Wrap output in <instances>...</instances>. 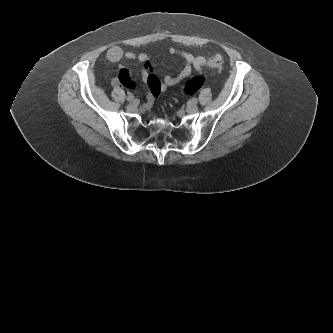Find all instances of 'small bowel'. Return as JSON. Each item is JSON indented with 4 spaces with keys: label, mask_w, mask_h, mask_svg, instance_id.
Instances as JSON below:
<instances>
[{
    "label": "small bowel",
    "mask_w": 333,
    "mask_h": 333,
    "mask_svg": "<svg viewBox=\"0 0 333 333\" xmlns=\"http://www.w3.org/2000/svg\"><path fill=\"white\" fill-rule=\"evenodd\" d=\"M170 53L182 58L184 66L176 76L166 75L161 79L154 73L149 58L144 53L136 54L131 51H124L119 46H112L106 51V58L113 63L125 58L128 60H137L142 64L141 77L148 88L146 106H150L157 96L164 93L169 87L177 85L182 80L191 76L194 70L202 71L207 62L205 56H195L178 48H171ZM121 84L129 90H138L140 88V83L130 77L129 70L125 66H120L117 77L112 79V86L118 87Z\"/></svg>",
    "instance_id": "1"
}]
</instances>
